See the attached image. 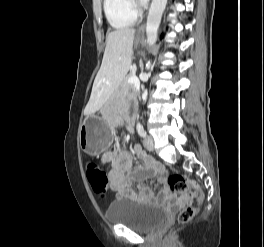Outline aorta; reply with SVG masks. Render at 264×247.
<instances>
[{"instance_id":"1","label":"aorta","mask_w":264,"mask_h":247,"mask_svg":"<svg viewBox=\"0 0 264 247\" xmlns=\"http://www.w3.org/2000/svg\"><path fill=\"white\" fill-rule=\"evenodd\" d=\"M167 0H152L146 23L147 43L151 47L156 43L157 32Z\"/></svg>"}]
</instances>
